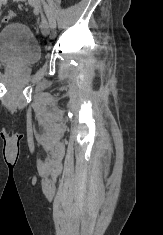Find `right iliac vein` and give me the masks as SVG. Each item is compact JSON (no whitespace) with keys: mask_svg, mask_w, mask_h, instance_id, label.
<instances>
[{"mask_svg":"<svg viewBox=\"0 0 163 235\" xmlns=\"http://www.w3.org/2000/svg\"><path fill=\"white\" fill-rule=\"evenodd\" d=\"M5 0H0V4H2V2H4Z\"/></svg>","mask_w":163,"mask_h":235,"instance_id":"right-iliac-vein-1","label":"right iliac vein"}]
</instances>
